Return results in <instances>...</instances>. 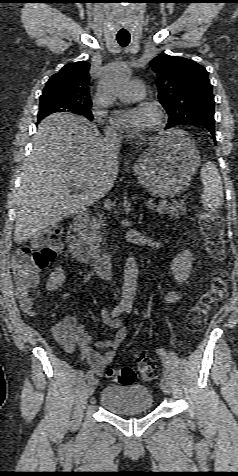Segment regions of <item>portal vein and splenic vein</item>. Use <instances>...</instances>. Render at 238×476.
I'll return each instance as SVG.
<instances>
[{"label": "portal vein and splenic vein", "instance_id": "18ae733b", "mask_svg": "<svg viewBox=\"0 0 238 476\" xmlns=\"http://www.w3.org/2000/svg\"><path fill=\"white\" fill-rule=\"evenodd\" d=\"M155 206H156V205H155V203H154L152 200L148 201V203H147V208L152 209V208H154Z\"/></svg>", "mask_w": 238, "mask_h": 476}]
</instances>
